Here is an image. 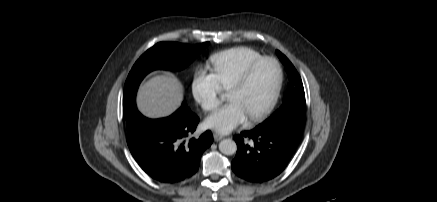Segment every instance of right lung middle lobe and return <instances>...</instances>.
Wrapping results in <instances>:
<instances>
[{
    "mask_svg": "<svg viewBox=\"0 0 437 202\" xmlns=\"http://www.w3.org/2000/svg\"><path fill=\"white\" fill-rule=\"evenodd\" d=\"M209 42L197 45L176 42H160L148 49L134 64L123 93V117L126 124L138 113L135 103L136 92L142 79L156 69L181 70L186 68L207 46ZM187 107L186 102L182 103Z\"/></svg>",
    "mask_w": 437,
    "mask_h": 202,
    "instance_id": "1",
    "label": "right lung middle lobe"
}]
</instances>
